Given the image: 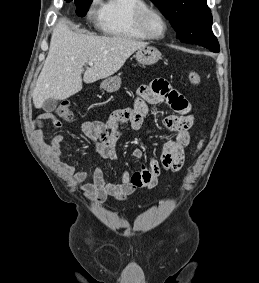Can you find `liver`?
Segmentation results:
<instances>
[{
    "label": "liver",
    "instance_id": "liver-1",
    "mask_svg": "<svg viewBox=\"0 0 259 283\" xmlns=\"http://www.w3.org/2000/svg\"><path fill=\"white\" fill-rule=\"evenodd\" d=\"M66 19L53 29L49 52L33 91V104L39 109L44 102L64 100L82 89V81L93 83L107 78L147 43L121 36H97L73 32ZM92 61L94 64L84 67Z\"/></svg>",
    "mask_w": 259,
    "mask_h": 283
}]
</instances>
